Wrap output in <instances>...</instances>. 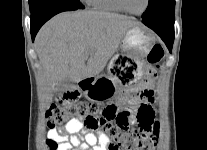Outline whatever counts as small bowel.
Instances as JSON below:
<instances>
[{"mask_svg": "<svg viewBox=\"0 0 207 150\" xmlns=\"http://www.w3.org/2000/svg\"><path fill=\"white\" fill-rule=\"evenodd\" d=\"M129 98L125 97V100L128 101ZM47 137L58 143V150H107L112 142L111 137L104 131L94 133L85 129L78 118L71 119L63 128L50 129Z\"/></svg>", "mask_w": 207, "mask_h": 150, "instance_id": "obj_1", "label": "small bowel"}]
</instances>
